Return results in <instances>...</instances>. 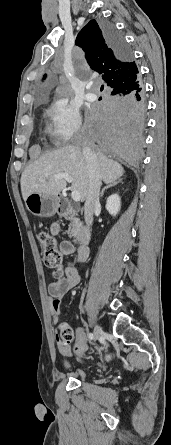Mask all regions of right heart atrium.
<instances>
[{
    "instance_id": "1",
    "label": "right heart atrium",
    "mask_w": 171,
    "mask_h": 445,
    "mask_svg": "<svg viewBox=\"0 0 171 445\" xmlns=\"http://www.w3.org/2000/svg\"><path fill=\"white\" fill-rule=\"evenodd\" d=\"M51 135L58 144L70 142L79 132L82 119L71 104L60 101L50 109Z\"/></svg>"
}]
</instances>
